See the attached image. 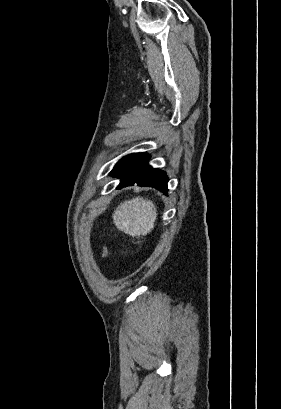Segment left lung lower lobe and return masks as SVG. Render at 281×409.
I'll return each mask as SVG.
<instances>
[{
    "label": "left lung lower lobe",
    "mask_w": 281,
    "mask_h": 409,
    "mask_svg": "<svg viewBox=\"0 0 281 409\" xmlns=\"http://www.w3.org/2000/svg\"><path fill=\"white\" fill-rule=\"evenodd\" d=\"M150 156L145 153H134L123 157L113 170L112 176L121 178L117 187L122 188L137 183L139 186H148L166 193L168 177L165 172L152 168L147 164Z\"/></svg>",
    "instance_id": "left-lung-lower-lobe-1"
}]
</instances>
